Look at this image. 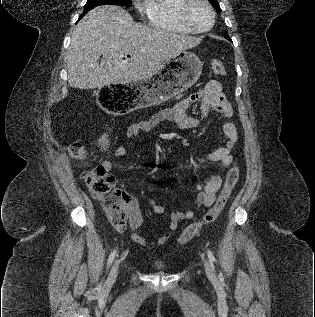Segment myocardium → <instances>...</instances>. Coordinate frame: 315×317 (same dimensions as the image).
<instances>
[{
	"label": "myocardium",
	"mask_w": 315,
	"mask_h": 317,
	"mask_svg": "<svg viewBox=\"0 0 315 317\" xmlns=\"http://www.w3.org/2000/svg\"><path fill=\"white\" fill-rule=\"evenodd\" d=\"M195 2L203 3L209 10L210 24L206 28H203V29L196 28L189 19V15H188L189 9L192 6V4ZM178 14H179L180 21L183 23V25L194 33H206L210 31L215 22V11L208 0H182L181 4L179 5Z\"/></svg>",
	"instance_id": "obj_1"
}]
</instances>
